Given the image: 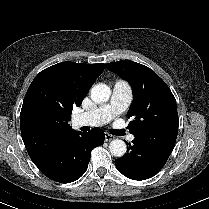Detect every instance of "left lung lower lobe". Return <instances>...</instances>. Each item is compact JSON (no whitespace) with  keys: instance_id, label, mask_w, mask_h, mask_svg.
Returning a JSON list of instances; mask_svg holds the SVG:
<instances>
[{"instance_id":"0a47b994","label":"left lung lower lobe","mask_w":209,"mask_h":209,"mask_svg":"<svg viewBox=\"0 0 209 209\" xmlns=\"http://www.w3.org/2000/svg\"><path fill=\"white\" fill-rule=\"evenodd\" d=\"M133 145L127 143L128 152L115 160L120 173L133 180H145L157 174L165 165L175 141L136 137Z\"/></svg>"}]
</instances>
